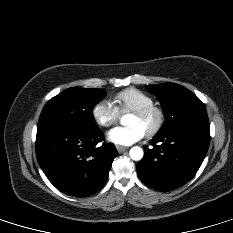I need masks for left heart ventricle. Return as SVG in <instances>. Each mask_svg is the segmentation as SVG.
Listing matches in <instances>:
<instances>
[{"label":"left heart ventricle","instance_id":"left-heart-ventricle-1","mask_svg":"<svg viewBox=\"0 0 233 233\" xmlns=\"http://www.w3.org/2000/svg\"><path fill=\"white\" fill-rule=\"evenodd\" d=\"M155 123V116L151 115L145 118L138 117L134 114H131L127 119V124H137L141 126L145 132H147Z\"/></svg>","mask_w":233,"mask_h":233}]
</instances>
